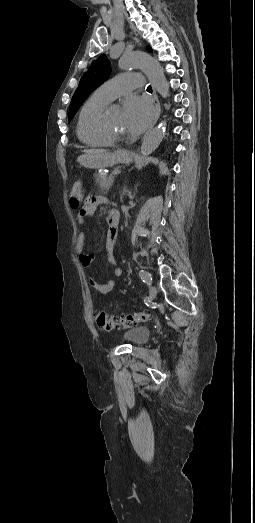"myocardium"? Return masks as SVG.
<instances>
[{"label": "myocardium", "instance_id": "obj_1", "mask_svg": "<svg viewBox=\"0 0 255 523\" xmlns=\"http://www.w3.org/2000/svg\"><path fill=\"white\" fill-rule=\"evenodd\" d=\"M110 107L106 106L100 110L91 120V127L95 133L100 136L106 137L111 142H131L134 140L131 138H122L117 135L113 129L110 127L108 115Z\"/></svg>", "mask_w": 255, "mask_h": 523}]
</instances>
